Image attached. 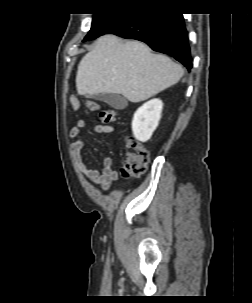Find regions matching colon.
<instances>
[{
  "instance_id": "obj_1",
  "label": "colon",
  "mask_w": 252,
  "mask_h": 303,
  "mask_svg": "<svg viewBox=\"0 0 252 303\" xmlns=\"http://www.w3.org/2000/svg\"><path fill=\"white\" fill-rule=\"evenodd\" d=\"M70 104L74 110L80 108V103L75 96L70 98ZM98 108L99 105L96 102L89 101L87 103V109L97 110ZM99 116L101 122L110 123L114 120L115 111L110 109L101 110ZM125 156L126 159L122 164L124 176H139L145 171L148 162V152L142 144L132 138H128L125 145Z\"/></svg>"
}]
</instances>
